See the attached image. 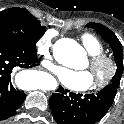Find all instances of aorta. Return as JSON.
<instances>
[{"label": "aorta", "mask_w": 124, "mask_h": 124, "mask_svg": "<svg viewBox=\"0 0 124 124\" xmlns=\"http://www.w3.org/2000/svg\"><path fill=\"white\" fill-rule=\"evenodd\" d=\"M58 51L73 62H76L85 56L84 49L75 40L69 38H64L59 41ZM56 88L57 82L52 78L48 79L44 84V89L46 90H55Z\"/></svg>", "instance_id": "762f6f07"}]
</instances>
